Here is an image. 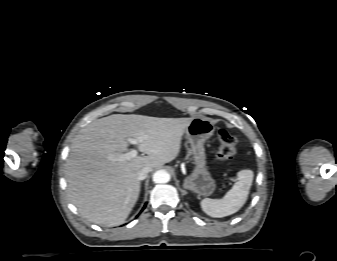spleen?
<instances>
[{
  "label": "spleen",
  "instance_id": "obj_1",
  "mask_svg": "<svg viewBox=\"0 0 337 261\" xmlns=\"http://www.w3.org/2000/svg\"><path fill=\"white\" fill-rule=\"evenodd\" d=\"M238 181L222 199H203L202 210L209 216L221 218L236 213L245 204L253 181L252 170H241L237 173Z\"/></svg>",
  "mask_w": 337,
  "mask_h": 261
}]
</instances>
